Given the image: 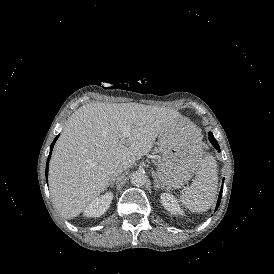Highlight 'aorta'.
Segmentation results:
<instances>
[{
	"label": "aorta",
	"mask_w": 274,
	"mask_h": 274,
	"mask_svg": "<svg viewBox=\"0 0 274 274\" xmlns=\"http://www.w3.org/2000/svg\"><path fill=\"white\" fill-rule=\"evenodd\" d=\"M146 181V175L140 171H136L131 175V183L135 186H142L146 183Z\"/></svg>",
	"instance_id": "762f6f07"
}]
</instances>
